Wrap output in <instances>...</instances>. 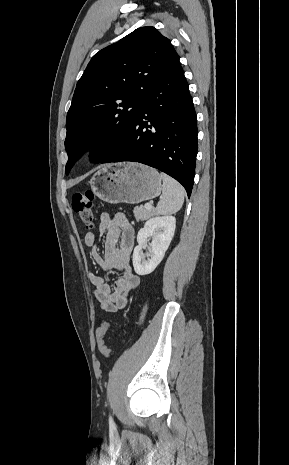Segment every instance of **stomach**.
I'll use <instances>...</instances> for the list:
<instances>
[{"instance_id": "obj_1", "label": "stomach", "mask_w": 289, "mask_h": 465, "mask_svg": "<svg viewBox=\"0 0 289 465\" xmlns=\"http://www.w3.org/2000/svg\"><path fill=\"white\" fill-rule=\"evenodd\" d=\"M89 184L93 193L105 202L137 204L160 193L161 176L149 166L122 162L98 170Z\"/></svg>"}]
</instances>
